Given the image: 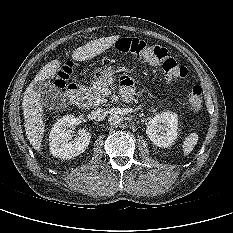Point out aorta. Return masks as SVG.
Segmentation results:
<instances>
[{
    "label": "aorta",
    "mask_w": 233,
    "mask_h": 233,
    "mask_svg": "<svg viewBox=\"0 0 233 233\" xmlns=\"http://www.w3.org/2000/svg\"><path fill=\"white\" fill-rule=\"evenodd\" d=\"M108 122L111 126H117L121 124L122 118L118 114H111L108 118Z\"/></svg>",
    "instance_id": "aorta-1"
}]
</instances>
